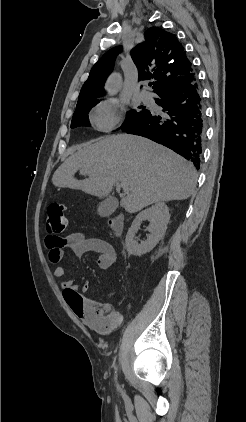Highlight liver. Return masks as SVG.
<instances>
[{
	"mask_svg": "<svg viewBox=\"0 0 246 422\" xmlns=\"http://www.w3.org/2000/svg\"><path fill=\"white\" fill-rule=\"evenodd\" d=\"M78 170L88 178L75 179ZM196 179L194 166L170 149L143 137L118 134L83 144L55 171L52 183L104 197L120 181L127 194L120 205L136 213L153 203L189 198Z\"/></svg>",
	"mask_w": 246,
	"mask_h": 422,
	"instance_id": "6515ba94",
	"label": "liver"
}]
</instances>
